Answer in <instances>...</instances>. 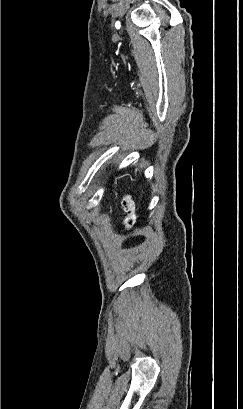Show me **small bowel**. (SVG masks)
Here are the masks:
<instances>
[{"label":"small bowel","mask_w":243,"mask_h":409,"mask_svg":"<svg viewBox=\"0 0 243 409\" xmlns=\"http://www.w3.org/2000/svg\"><path fill=\"white\" fill-rule=\"evenodd\" d=\"M124 210L128 213L126 222L128 226H131L135 220V204L133 200L128 196L125 197L122 202Z\"/></svg>","instance_id":"c3829d8e"}]
</instances>
